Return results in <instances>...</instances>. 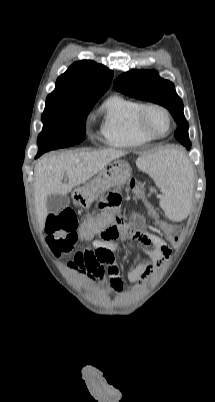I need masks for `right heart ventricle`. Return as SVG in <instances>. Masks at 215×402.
<instances>
[{"mask_svg": "<svg viewBox=\"0 0 215 402\" xmlns=\"http://www.w3.org/2000/svg\"><path fill=\"white\" fill-rule=\"evenodd\" d=\"M142 103L121 95H113L100 107L103 142L115 148H134L152 139L143 135L137 126V115Z\"/></svg>", "mask_w": 215, "mask_h": 402, "instance_id": "right-heart-ventricle-1", "label": "right heart ventricle"}]
</instances>
